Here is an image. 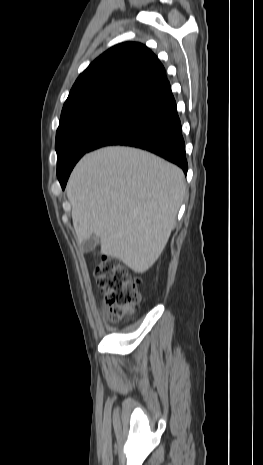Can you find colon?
Here are the masks:
<instances>
[{"instance_id": "colon-1", "label": "colon", "mask_w": 263, "mask_h": 465, "mask_svg": "<svg viewBox=\"0 0 263 465\" xmlns=\"http://www.w3.org/2000/svg\"><path fill=\"white\" fill-rule=\"evenodd\" d=\"M95 276L99 288L104 292L112 322L135 313L140 301L137 281L130 277L118 260L102 259L95 267Z\"/></svg>"}]
</instances>
